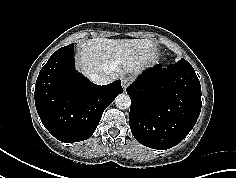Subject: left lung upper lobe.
Masks as SVG:
<instances>
[{"label":"left lung upper lobe","instance_id":"left-lung-upper-lobe-1","mask_svg":"<svg viewBox=\"0 0 236 178\" xmlns=\"http://www.w3.org/2000/svg\"><path fill=\"white\" fill-rule=\"evenodd\" d=\"M183 62H187L185 59H181L178 61V63H183Z\"/></svg>","mask_w":236,"mask_h":178}]
</instances>
